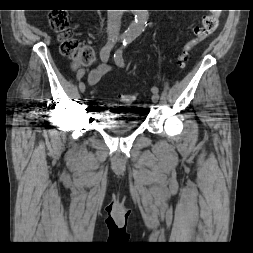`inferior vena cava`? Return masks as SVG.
<instances>
[{"label": "inferior vena cava", "mask_w": 253, "mask_h": 253, "mask_svg": "<svg viewBox=\"0 0 253 253\" xmlns=\"http://www.w3.org/2000/svg\"><path fill=\"white\" fill-rule=\"evenodd\" d=\"M120 28V10H108L107 34L109 38L117 37Z\"/></svg>", "instance_id": "602c4592"}]
</instances>
